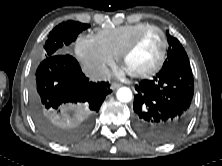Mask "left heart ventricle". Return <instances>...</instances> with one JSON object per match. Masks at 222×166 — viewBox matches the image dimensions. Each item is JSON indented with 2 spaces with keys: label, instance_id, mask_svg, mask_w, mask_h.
<instances>
[{
  "label": "left heart ventricle",
  "instance_id": "1",
  "mask_svg": "<svg viewBox=\"0 0 222 166\" xmlns=\"http://www.w3.org/2000/svg\"><path fill=\"white\" fill-rule=\"evenodd\" d=\"M162 49V40L158 32L150 31L127 56L123 63L128 73H137L153 66Z\"/></svg>",
  "mask_w": 222,
  "mask_h": 166
}]
</instances>
